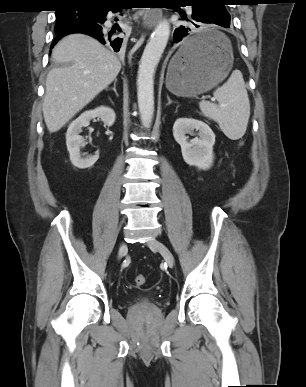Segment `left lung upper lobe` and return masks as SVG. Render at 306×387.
<instances>
[{
  "instance_id": "5c2ea615",
  "label": "left lung upper lobe",
  "mask_w": 306,
  "mask_h": 387,
  "mask_svg": "<svg viewBox=\"0 0 306 387\" xmlns=\"http://www.w3.org/2000/svg\"><path fill=\"white\" fill-rule=\"evenodd\" d=\"M224 2L225 0H186L184 3H191L192 5L207 4L216 19L230 22V15L225 8Z\"/></svg>"
}]
</instances>
